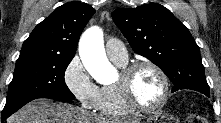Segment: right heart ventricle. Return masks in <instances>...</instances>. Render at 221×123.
Segmentation results:
<instances>
[{
  "mask_svg": "<svg viewBox=\"0 0 221 123\" xmlns=\"http://www.w3.org/2000/svg\"><path fill=\"white\" fill-rule=\"evenodd\" d=\"M124 67L125 65H120ZM98 112L108 118H126L133 115L134 111L126 106L115 85L100 88V97L97 107Z\"/></svg>",
  "mask_w": 221,
  "mask_h": 123,
  "instance_id": "obj_1",
  "label": "right heart ventricle"
}]
</instances>
